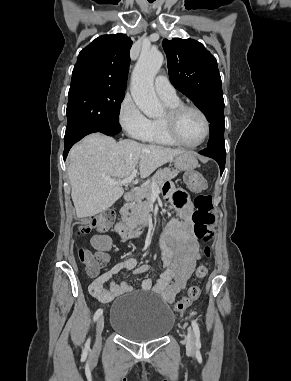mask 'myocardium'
<instances>
[{
    "label": "myocardium",
    "instance_id": "myocardium-1",
    "mask_svg": "<svg viewBox=\"0 0 291 381\" xmlns=\"http://www.w3.org/2000/svg\"><path fill=\"white\" fill-rule=\"evenodd\" d=\"M195 111L197 112L201 118L203 119L205 130L202 138L196 142V143H187L183 141L177 131V121L179 117L185 112V111ZM161 125L163 127L164 132L166 135L177 145L187 147V148H196L200 145H202L206 139L208 138L210 134V122L203 110H201L199 107L195 105L190 104H178L173 107H168L164 115L160 118Z\"/></svg>",
    "mask_w": 291,
    "mask_h": 381
}]
</instances>
